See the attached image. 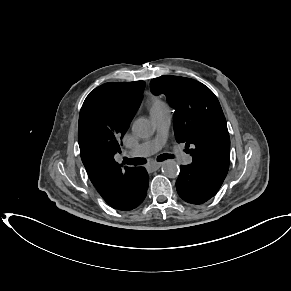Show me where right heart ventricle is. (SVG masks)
<instances>
[{
    "label": "right heart ventricle",
    "mask_w": 291,
    "mask_h": 291,
    "mask_svg": "<svg viewBox=\"0 0 291 291\" xmlns=\"http://www.w3.org/2000/svg\"><path fill=\"white\" fill-rule=\"evenodd\" d=\"M148 107H149L150 115L155 114V113H159V112H162V111L168 109L165 102L156 96L150 97V99L148 101Z\"/></svg>",
    "instance_id": "e07e8e85"
}]
</instances>
